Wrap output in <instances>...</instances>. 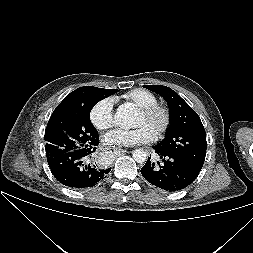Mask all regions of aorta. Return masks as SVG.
Instances as JSON below:
<instances>
[{"label":"aorta","instance_id":"1","mask_svg":"<svg viewBox=\"0 0 253 253\" xmlns=\"http://www.w3.org/2000/svg\"><path fill=\"white\" fill-rule=\"evenodd\" d=\"M134 117H135V112L133 110V108H131L128 105H121L115 115H114V120L115 123L123 128V129H128L132 126L133 121H134ZM133 159L137 162V163H143L146 161L147 159V154L145 151L141 150V149H136L133 152Z\"/></svg>","mask_w":253,"mask_h":253}]
</instances>
